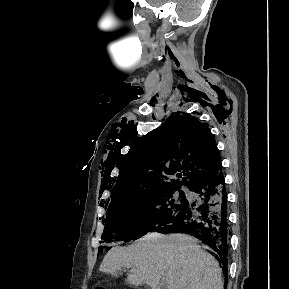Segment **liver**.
<instances>
[{
    "mask_svg": "<svg viewBox=\"0 0 289 289\" xmlns=\"http://www.w3.org/2000/svg\"><path fill=\"white\" fill-rule=\"evenodd\" d=\"M121 268H130L127 281L135 286L223 289L218 262L185 234L153 232L126 248L115 247L105 255L99 270L117 276Z\"/></svg>",
    "mask_w": 289,
    "mask_h": 289,
    "instance_id": "obj_1",
    "label": "liver"
}]
</instances>
